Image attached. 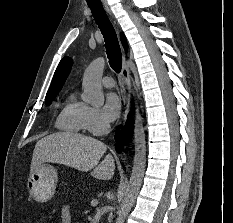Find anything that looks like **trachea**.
Segmentation results:
<instances>
[{
  "instance_id": "obj_1",
  "label": "trachea",
  "mask_w": 233,
  "mask_h": 223,
  "mask_svg": "<svg viewBox=\"0 0 233 223\" xmlns=\"http://www.w3.org/2000/svg\"><path fill=\"white\" fill-rule=\"evenodd\" d=\"M88 5L104 37L109 64L113 70L119 73L122 68V54L115 29L108 19L100 1Z\"/></svg>"
}]
</instances>
